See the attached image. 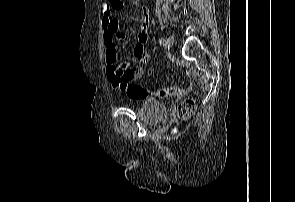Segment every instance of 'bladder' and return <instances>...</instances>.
Segmentation results:
<instances>
[{"mask_svg":"<svg viewBox=\"0 0 295 202\" xmlns=\"http://www.w3.org/2000/svg\"><path fill=\"white\" fill-rule=\"evenodd\" d=\"M138 116L145 123L158 124L166 119L167 107L162 101L146 97L138 108Z\"/></svg>","mask_w":295,"mask_h":202,"instance_id":"1","label":"bladder"}]
</instances>
